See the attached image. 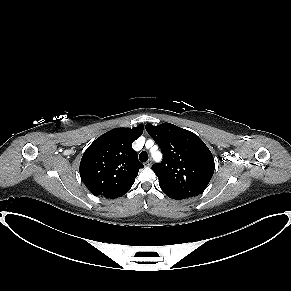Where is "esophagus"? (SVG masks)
<instances>
[{
	"label": "esophagus",
	"mask_w": 291,
	"mask_h": 291,
	"mask_svg": "<svg viewBox=\"0 0 291 291\" xmlns=\"http://www.w3.org/2000/svg\"><path fill=\"white\" fill-rule=\"evenodd\" d=\"M146 167H150L152 165V160L149 159L147 162L144 163Z\"/></svg>",
	"instance_id": "esophagus-1"
}]
</instances>
